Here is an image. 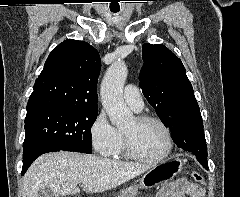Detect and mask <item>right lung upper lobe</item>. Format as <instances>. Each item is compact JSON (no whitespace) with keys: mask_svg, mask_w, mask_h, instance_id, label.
Segmentation results:
<instances>
[{"mask_svg":"<svg viewBox=\"0 0 240 197\" xmlns=\"http://www.w3.org/2000/svg\"><path fill=\"white\" fill-rule=\"evenodd\" d=\"M101 59L85 41L67 39L48 56L34 84L27 112L43 108L98 109Z\"/></svg>","mask_w":240,"mask_h":197,"instance_id":"right-lung-upper-lobe-1","label":"right lung upper lobe"}]
</instances>
